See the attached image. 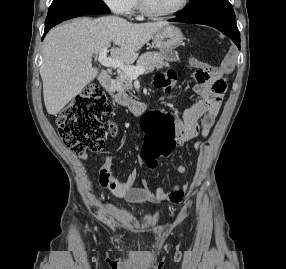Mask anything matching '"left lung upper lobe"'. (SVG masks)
<instances>
[{
    "label": "left lung upper lobe",
    "mask_w": 286,
    "mask_h": 269,
    "mask_svg": "<svg viewBox=\"0 0 286 269\" xmlns=\"http://www.w3.org/2000/svg\"><path fill=\"white\" fill-rule=\"evenodd\" d=\"M190 3L179 11L180 17L184 19L219 17L235 18L232 5L228 0H189Z\"/></svg>",
    "instance_id": "obj_1"
}]
</instances>
